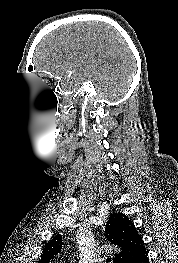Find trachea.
<instances>
[{
    "label": "trachea",
    "mask_w": 178,
    "mask_h": 263,
    "mask_svg": "<svg viewBox=\"0 0 178 263\" xmlns=\"http://www.w3.org/2000/svg\"><path fill=\"white\" fill-rule=\"evenodd\" d=\"M106 262H107V263H110V262H111V258H107V259H106Z\"/></svg>",
    "instance_id": "obj_1"
}]
</instances>
